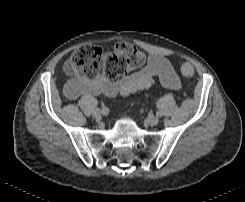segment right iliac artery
<instances>
[{
	"label": "right iliac artery",
	"instance_id": "1",
	"mask_svg": "<svg viewBox=\"0 0 245 202\" xmlns=\"http://www.w3.org/2000/svg\"><path fill=\"white\" fill-rule=\"evenodd\" d=\"M102 111L104 112V114H107L108 113V109L106 107H103L102 108Z\"/></svg>",
	"mask_w": 245,
	"mask_h": 202
}]
</instances>
